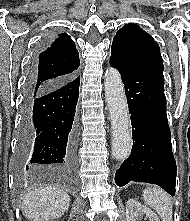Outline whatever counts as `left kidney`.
<instances>
[{
  "mask_svg": "<svg viewBox=\"0 0 190 221\" xmlns=\"http://www.w3.org/2000/svg\"><path fill=\"white\" fill-rule=\"evenodd\" d=\"M142 215H146L149 221H160L158 216L147 206L140 204L134 199H129L126 203L127 221H136Z\"/></svg>",
  "mask_w": 190,
  "mask_h": 221,
  "instance_id": "5707ae66",
  "label": "left kidney"
}]
</instances>
